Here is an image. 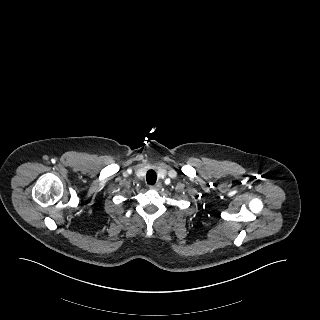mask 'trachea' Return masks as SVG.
Returning a JSON list of instances; mask_svg holds the SVG:
<instances>
[{
	"label": "trachea",
	"mask_w": 320,
	"mask_h": 320,
	"mask_svg": "<svg viewBox=\"0 0 320 320\" xmlns=\"http://www.w3.org/2000/svg\"><path fill=\"white\" fill-rule=\"evenodd\" d=\"M147 183L150 185H154L157 180V175L154 171H149L146 175Z\"/></svg>",
	"instance_id": "trachea-1"
}]
</instances>
